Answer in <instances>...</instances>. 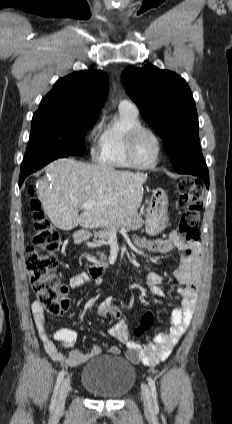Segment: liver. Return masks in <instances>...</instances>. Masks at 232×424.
<instances>
[{
    "mask_svg": "<svg viewBox=\"0 0 232 424\" xmlns=\"http://www.w3.org/2000/svg\"><path fill=\"white\" fill-rule=\"evenodd\" d=\"M46 170L51 185L38 180L37 195L44 213L61 230L78 225L85 229L107 227L136 213L141 206L145 173L119 171L72 158L57 159ZM86 201L96 204L79 215V205Z\"/></svg>",
    "mask_w": 232,
    "mask_h": 424,
    "instance_id": "obj_1",
    "label": "liver"
}]
</instances>
